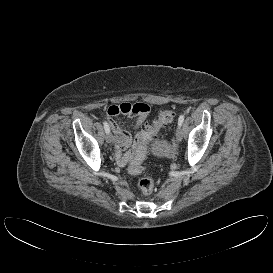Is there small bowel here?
<instances>
[{"label":"small bowel","instance_id":"c3829d8e","mask_svg":"<svg viewBox=\"0 0 273 273\" xmlns=\"http://www.w3.org/2000/svg\"><path fill=\"white\" fill-rule=\"evenodd\" d=\"M107 117L111 129L114 133V156L119 166H125L131 160L135 147L141 141L142 131L140 130L150 113L149 105L145 103H121L118 105H110L107 108ZM118 115H127L135 117L134 129L137 131L134 138L129 133L122 130L113 120ZM133 150H129L130 147Z\"/></svg>","mask_w":273,"mask_h":273}]
</instances>
